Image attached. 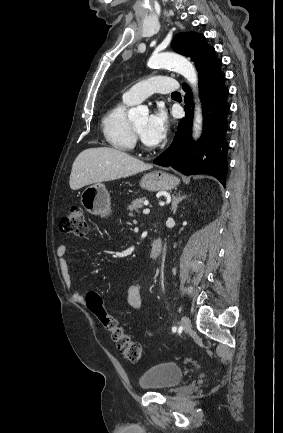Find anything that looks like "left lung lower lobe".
Segmentation results:
<instances>
[{"mask_svg":"<svg viewBox=\"0 0 283 433\" xmlns=\"http://www.w3.org/2000/svg\"><path fill=\"white\" fill-rule=\"evenodd\" d=\"M222 61L208 48L195 61L199 76L200 95L203 100L204 127L202 138L192 142V96L187 84H183L186 116L179 123L171 145L155 160L161 166H171L185 174H209L226 186L228 130V89L221 72Z\"/></svg>","mask_w":283,"mask_h":433,"instance_id":"0a47b994","label":"left lung lower lobe"}]
</instances>
